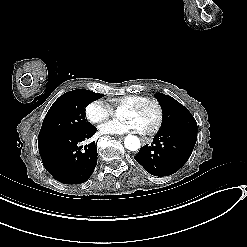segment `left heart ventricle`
<instances>
[{"mask_svg": "<svg viewBox=\"0 0 247 247\" xmlns=\"http://www.w3.org/2000/svg\"><path fill=\"white\" fill-rule=\"evenodd\" d=\"M136 119L139 121L142 131L147 133L151 130L157 121V107L153 103L145 104L140 110H132L126 108L124 111V119Z\"/></svg>", "mask_w": 247, "mask_h": 247, "instance_id": "b2bd125f", "label": "left heart ventricle"}]
</instances>
